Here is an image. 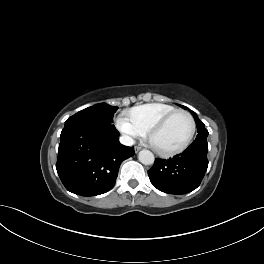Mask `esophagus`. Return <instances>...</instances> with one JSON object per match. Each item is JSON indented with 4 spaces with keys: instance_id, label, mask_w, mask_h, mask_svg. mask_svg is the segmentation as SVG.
<instances>
[{
    "instance_id": "esophagus-1",
    "label": "esophagus",
    "mask_w": 264,
    "mask_h": 264,
    "mask_svg": "<svg viewBox=\"0 0 264 264\" xmlns=\"http://www.w3.org/2000/svg\"><path fill=\"white\" fill-rule=\"evenodd\" d=\"M140 149H141V147L136 146L135 149H134L135 150V153H137Z\"/></svg>"
}]
</instances>
